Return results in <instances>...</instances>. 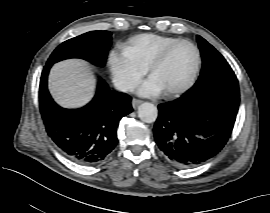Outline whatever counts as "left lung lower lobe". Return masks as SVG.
<instances>
[{
    "label": "left lung lower lobe",
    "mask_w": 270,
    "mask_h": 213,
    "mask_svg": "<svg viewBox=\"0 0 270 213\" xmlns=\"http://www.w3.org/2000/svg\"><path fill=\"white\" fill-rule=\"evenodd\" d=\"M239 84L229 75L181 98L160 104L154 138L178 167L199 165L228 141L239 107Z\"/></svg>",
    "instance_id": "0a47b994"
}]
</instances>
